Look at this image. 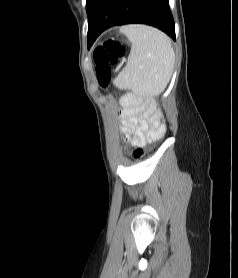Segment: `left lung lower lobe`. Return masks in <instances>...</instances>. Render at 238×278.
<instances>
[{
	"label": "left lung lower lobe",
	"mask_w": 238,
	"mask_h": 278,
	"mask_svg": "<svg viewBox=\"0 0 238 278\" xmlns=\"http://www.w3.org/2000/svg\"><path fill=\"white\" fill-rule=\"evenodd\" d=\"M130 23L155 26L175 40L168 0H99L88 20V48L107 28Z\"/></svg>",
	"instance_id": "obj_1"
}]
</instances>
